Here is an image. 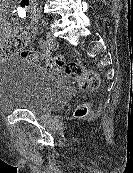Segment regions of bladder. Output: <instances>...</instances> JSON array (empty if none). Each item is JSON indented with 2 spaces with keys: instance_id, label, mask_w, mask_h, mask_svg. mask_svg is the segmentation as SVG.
Here are the masks:
<instances>
[{
  "instance_id": "bladder-1",
  "label": "bladder",
  "mask_w": 133,
  "mask_h": 173,
  "mask_svg": "<svg viewBox=\"0 0 133 173\" xmlns=\"http://www.w3.org/2000/svg\"><path fill=\"white\" fill-rule=\"evenodd\" d=\"M71 91L64 75L23 59L12 58L0 65V112H50L65 103Z\"/></svg>"
}]
</instances>
